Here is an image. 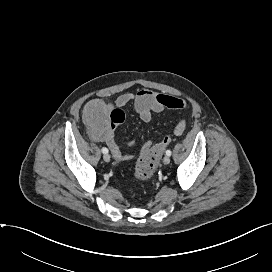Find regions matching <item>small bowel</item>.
Instances as JSON below:
<instances>
[{
  "label": "small bowel",
  "instance_id": "small-bowel-1",
  "mask_svg": "<svg viewBox=\"0 0 272 272\" xmlns=\"http://www.w3.org/2000/svg\"><path fill=\"white\" fill-rule=\"evenodd\" d=\"M130 103L133 104L135 111L144 122L151 121L155 113H160L166 109L186 110L188 108L187 103L178 97L157 93L146 88H141L136 93H124L115 101L117 107H124ZM185 128L186 121L181 119L174 128V134L176 136L182 135ZM93 138L105 142L116 160L127 161L132 158L131 155L121 152L115 140L114 130L109 129L103 135L93 136ZM129 145L141 152H146L151 143L149 141L143 143L130 141Z\"/></svg>",
  "mask_w": 272,
  "mask_h": 272
}]
</instances>
